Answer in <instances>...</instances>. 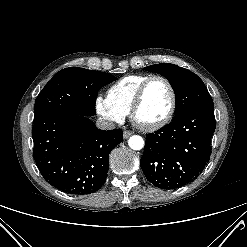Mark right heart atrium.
I'll list each match as a JSON object with an SVG mask.
<instances>
[{"mask_svg": "<svg viewBox=\"0 0 247 247\" xmlns=\"http://www.w3.org/2000/svg\"><path fill=\"white\" fill-rule=\"evenodd\" d=\"M95 108L97 113L105 120L122 123L126 115L115 107L107 96L98 95L95 99Z\"/></svg>", "mask_w": 247, "mask_h": 247, "instance_id": "1", "label": "right heart atrium"}]
</instances>
